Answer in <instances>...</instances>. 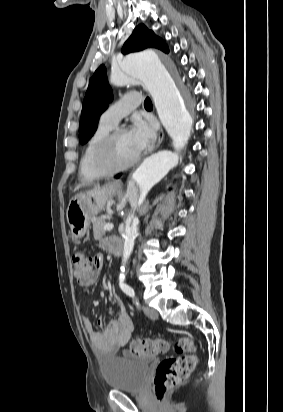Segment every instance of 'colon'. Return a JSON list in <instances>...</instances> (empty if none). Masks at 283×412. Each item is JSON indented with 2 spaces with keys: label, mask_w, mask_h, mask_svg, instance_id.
I'll return each instance as SVG.
<instances>
[{
  "label": "colon",
  "mask_w": 283,
  "mask_h": 412,
  "mask_svg": "<svg viewBox=\"0 0 283 412\" xmlns=\"http://www.w3.org/2000/svg\"><path fill=\"white\" fill-rule=\"evenodd\" d=\"M74 276L85 281L91 270L100 263L96 255L86 256L76 252L72 257ZM170 344L165 339H144L131 342V353L135 357L148 358L157 356L168 350ZM175 350L180 354L160 362L154 377V391L157 400L163 403L168 391L185 381L198 362V356L193 340L190 337H180L174 342Z\"/></svg>",
  "instance_id": "5ec220e1"
}]
</instances>
